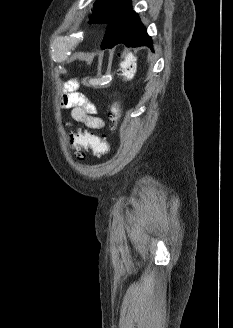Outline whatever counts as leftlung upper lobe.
Instances as JSON below:
<instances>
[{
	"label": "left lung upper lobe",
	"instance_id": "5c2ea615",
	"mask_svg": "<svg viewBox=\"0 0 233 328\" xmlns=\"http://www.w3.org/2000/svg\"><path fill=\"white\" fill-rule=\"evenodd\" d=\"M128 3V0L97 1L93 7L90 23L110 24Z\"/></svg>",
	"mask_w": 233,
	"mask_h": 328
}]
</instances>
